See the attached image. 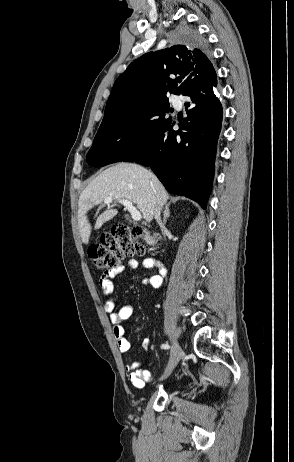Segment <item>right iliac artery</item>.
I'll use <instances>...</instances> for the list:
<instances>
[{
	"mask_svg": "<svg viewBox=\"0 0 294 462\" xmlns=\"http://www.w3.org/2000/svg\"><path fill=\"white\" fill-rule=\"evenodd\" d=\"M161 348H162V349H169L170 346H169L168 344H163V345L161 346Z\"/></svg>",
	"mask_w": 294,
	"mask_h": 462,
	"instance_id": "obj_1",
	"label": "right iliac artery"
}]
</instances>
